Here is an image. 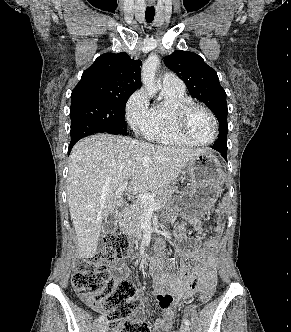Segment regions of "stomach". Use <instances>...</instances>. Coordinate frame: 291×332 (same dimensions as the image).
Instances as JSON below:
<instances>
[{"label": "stomach", "instance_id": "0dacf381", "mask_svg": "<svg viewBox=\"0 0 291 332\" xmlns=\"http://www.w3.org/2000/svg\"><path fill=\"white\" fill-rule=\"evenodd\" d=\"M186 172L189 176V189L176 196L172 205H184L198 214L217 200L224 182V172L218 159L209 151L200 153L188 161Z\"/></svg>", "mask_w": 291, "mask_h": 332}]
</instances>
